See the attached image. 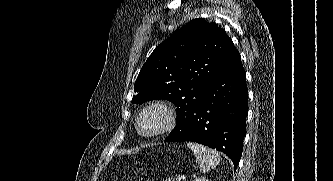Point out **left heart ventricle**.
Masks as SVG:
<instances>
[{"label": "left heart ventricle", "instance_id": "1", "mask_svg": "<svg viewBox=\"0 0 333 181\" xmlns=\"http://www.w3.org/2000/svg\"><path fill=\"white\" fill-rule=\"evenodd\" d=\"M160 124V116L157 113H149L140 122L141 130L150 131L157 128Z\"/></svg>", "mask_w": 333, "mask_h": 181}]
</instances>
